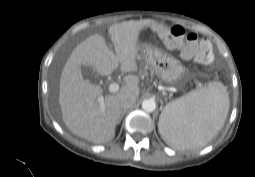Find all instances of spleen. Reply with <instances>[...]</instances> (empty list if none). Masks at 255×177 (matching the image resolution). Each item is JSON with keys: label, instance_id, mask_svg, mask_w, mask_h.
Wrapping results in <instances>:
<instances>
[{"label": "spleen", "instance_id": "3e777b00", "mask_svg": "<svg viewBox=\"0 0 255 177\" xmlns=\"http://www.w3.org/2000/svg\"><path fill=\"white\" fill-rule=\"evenodd\" d=\"M229 111L226 88L219 82L168 103L159 120L163 140L176 149L205 146L222 128Z\"/></svg>", "mask_w": 255, "mask_h": 177}]
</instances>
